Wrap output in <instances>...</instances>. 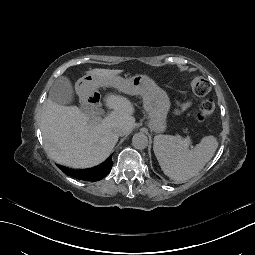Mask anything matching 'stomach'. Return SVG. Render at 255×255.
<instances>
[{"label":"stomach","instance_id":"0dacf381","mask_svg":"<svg viewBox=\"0 0 255 255\" xmlns=\"http://www.w3.org/2000/svg\"><path fill=\"white\" fill-rule=\"evenodd\" d=\"M125 93L141 95L144 100V108L149 115L148 126L154 132H162L166 125V111L163 105L169 102L167 92L159 88L146 75L137 74L124 83Z\"/></svg>","mask_w":255,"mask_h":255}]
</instances>
